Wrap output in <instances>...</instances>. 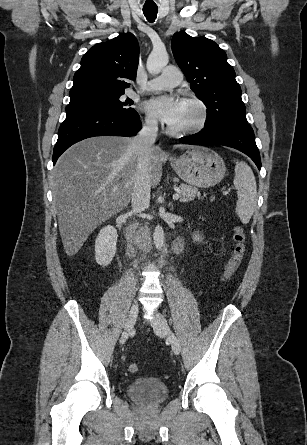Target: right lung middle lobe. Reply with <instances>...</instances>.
<instances>
[{
  "label": "right lung middle lobe",
  "instance_id": "right-lung-middle-lobe-1",
  "mask_svg": "<svg viewBox=\"0 0 307 445\" xmlns=\"http://www.w3.org/2000/svg\"><path fill=\"white\" fill-rule=\"evenodd\" d=\"M123 94L115 95H93L71 98L70 103L66 107V113L77 111H113L126 115H138V113L129 105L133 104L131 99L121 101Z\"/></svg>",
  "mask_w": 307,
  "mask_h": 445
}]
</instances>
